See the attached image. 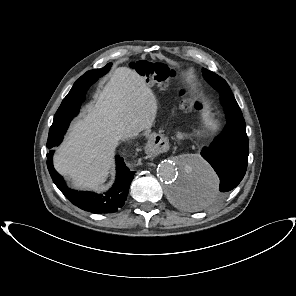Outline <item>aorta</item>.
I'll list each match as a JSON object with an SVG mask.
<instances>
[{"label":"aorta","mask_w":296,"mask_h":296,"mask_svg":"<svg viewBox=\"0 0 296 296\" xmlns=\"http://www.w3.org/2000/svg\"><path fill=\"white\" fill-rule=\"evenodd\" d=\"M168 197L178 205L202 209L216 197L219 178L213 168L197 155H186L179 162L164 161L157 168Z\"/></svg>","instance_id":"1"}]
</instances>
